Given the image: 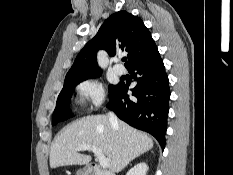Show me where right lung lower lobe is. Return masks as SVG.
Segmentation results:
<instances>
[{"label":"right lung lower lobe","mask_w":233,"mask_h":175,"mask_svg":"<svg viewBox=\"0 0 233 175\" xmlns=\"http://www.w3.org/2000/svg\"><path fill=\"white\" fill-rule=\"evenodd\" d=\"M128 70L137 81L131 90L135 98L127 95L128 85L119 83L107 107L129 125L153 135L164 149L170 89L159 52L136 62Z\"/></svg>","instance_id":"98d812e1"}]
</instances>
